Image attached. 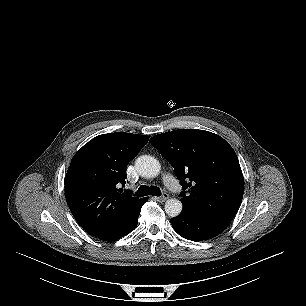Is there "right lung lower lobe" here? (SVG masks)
<instances>
[{
  "label": "right lung lower lobe",
  "instance_id": "98d812e1",
  "mask_svg": "<svg viewBox=\"0 0 306 306\" xmlns=\"http://www.w3.org/2000/svg\"><path fill=\"white\" fill-rule=\"evenodd\" d=\"M147 200H148V198H144L142 200V202L134 209V212H133L132 216L130 217V219L128 220V222L114 236H112L107 241L117 240V239L129 234L132 230L135 229V227L137 226V223H138L137 220H138V217L140 215L141 207L143 206V204Z\"/></svg>",
  "mask_w": 306,
  "mask_h": 306
}]
</instances>
